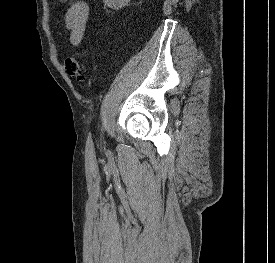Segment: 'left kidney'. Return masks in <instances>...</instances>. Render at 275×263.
Listing matches in <instances>:
<instances>
[{
	"mask_svg": "<svg viewBox=\"0 0 275 263\" xmlns=\"http://www.w3.org/2000/svg\"><path fill=\"white\" fill-rule=\"evenodd\" d=\"M130 0H103L108 7L118 10L128 4Z\"/></svg>",
	"mask_w": 275,
	"mask_h": 263,
	"instance_id": "1",
	"label": "left kidney"
}]
</instances>
